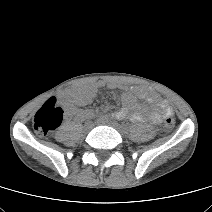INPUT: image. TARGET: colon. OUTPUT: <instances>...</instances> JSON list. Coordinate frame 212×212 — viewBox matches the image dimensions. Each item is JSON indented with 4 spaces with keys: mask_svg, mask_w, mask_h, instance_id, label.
<instances>
[{
    "mask_svg": "<svg viewBox=\"0 0 212 212\" xmlns=\"http://www.w3.org/2000/svg\"><path fill=\"white\" fill-rule=\"evenodd\" d=\"M64 109L57 103L56 98L48 99L35 113L33 117V128L40 136H47L61 124ZM165 127L172 129L175 120L167 116L164 121Z\"/></svg>",
    "mask_w": 212,
    "mask_h": 212,
    "instance_id": "1",
    "label": "colon"
}]
</instances>
